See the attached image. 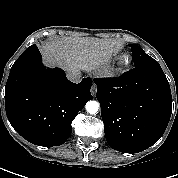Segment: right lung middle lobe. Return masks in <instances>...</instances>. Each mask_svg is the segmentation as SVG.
Returning a JSON list of instances; mask_svg holds the SVG:
<instances>
[{
  "mask_svg": "<svg viewBox=\"0 0 178 178\" xmlns=\"http://www.w3.org/2000/svg\"><path fill=\"white\" fill-rule=\"evenodd\" d=\"M33 49H35V44L32 45V46H30V47H28L24 52H26V51H31V50H33Z\"/></svg>",
  "mask_w": 178,
  "mask_h": 178,
  "instance_id": "obj_1",
  "label": "right lung middle lobe"
}]
</instances>
